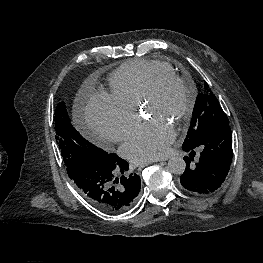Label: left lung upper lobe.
<instances>
[{
    "instance_id": "obj_1",
    "label": "left lung upper lobe",
    "mask_w": 263,
    "mask_h": 263,
    "mask_svg": "<svg viewBox=\"0 0 263 263\" xmlns=\"http://www.w3.org/2000/svg\"><path fill=\"white\" fill-rule=\"evenodd\" d=\"M224 124H229V120L208 84L205 83L204 91L196 98L190 128L183 145L194 144L209 130Z\"/></svg>"
}]
</instances>
